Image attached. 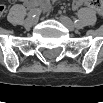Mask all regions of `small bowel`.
<instances>
[{
  "label": "small bowel",
  "mask_w": 103,
  "mask_h": 103,
  "mask_svg": "<svg viewBox=\"0 0 103 103\" xmlns=\"http://www.w3.org/2000/svg\"><path fill=\"white\" fill-rule=\"evenodd\" d=\"M27 7H41L44 11L49 10V4L46 1H41V0H25L23 2ZM84 5L83 1H74L73 2V8H79ZM4 7V6H3ZM5 11V7H4Z\"/></svg>",
  "instance_id": "1"
}]
</instances>
